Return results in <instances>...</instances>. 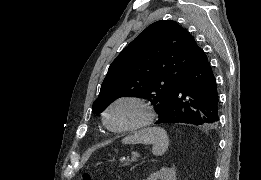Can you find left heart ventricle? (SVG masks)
I'll list each match as a JSON object with an SVG mask.
<instances>
[{
    "instance_id": "obj_1",
    "label": "left heart ventricle",
    "mask_w": 261,
    "mask_h": 180,
    "mask_svg": "<svg viewBox=\"0 0 261 180\" xmlns=\"http://www.w3.org/2000/svg\"><path fill=\"white\" fill-rule=\"evenodd\" d=\"M139 108L130 103H124L116 106L110 115L111 124L114 127H123L131 124L139 116Z\"/></svg>"
}]
</instances>
